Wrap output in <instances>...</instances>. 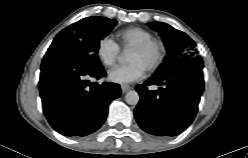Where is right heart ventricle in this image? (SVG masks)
Here are the masks:
<instances>
[{
	"label": "right heart ventricle",
	"instance_id": "right-heart-ventricle-1",
	"mask_svg": "<svg viewBox=\"0 0 248 158\" xmlns=\"http://www.w3.org/2000/svg\"><path fill=\"white\" fill-rule=\"evenodd\" d=\"M115 38L118 40L121 48L130 49L144 41L152 39V34L140 27H129L117 31Z\"/></svg>",
	"mask_w": 248,
	"mask_h": 158
}]
</instances>
